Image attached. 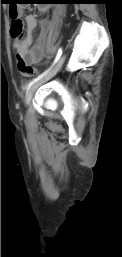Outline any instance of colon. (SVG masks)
Returning <instances> with one entry per match:
<instances>
[{
    "label": "colon",
    "instance_id": "1",
    "mask_svg": "<svg viewBox=\"0 0 122 257\" xmlns=\"http://www.w3.org/2000/svg\"><path fill=\"white\" fill-rule=\"evenodd\" d=\"M7 10H9V16L11 18V35L14 38H20L23 34L24 24L19 17V10H25V5H7ZM17 67L19 72L25 77H32L36 74V69L19 56Z\"/></svg>",
    "mask_w": 122,
    "mask_h": 257
}]
</instances>
